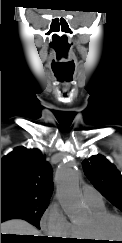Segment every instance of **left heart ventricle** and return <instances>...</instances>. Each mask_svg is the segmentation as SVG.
I'll return each instance as SVG.
<instances>
[{
	"instance_id": "obj_1",
	"label": "left heart ventricle",
	"mask_w": 122,
	"mask_h": 243,
	"mask_svg": "<svg viewBox=\"0 0 122 243\" xmlns=\"http://www.w3.org/2000/svg\"><path fill=\"white\" fill-rule=\"evenodd\" d=\"M89 220L86 221L84 225H86L89 222ZM100 235L104 238H111V239L122 238V222L117 219H110L101 228ZM110 242L117 243L118 241H110Z\"/></svg>"
}]
</instances>
